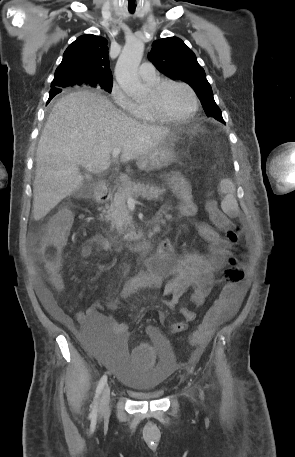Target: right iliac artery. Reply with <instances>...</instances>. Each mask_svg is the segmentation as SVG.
<instances>
[{
	"instance_id": "1",
	"label": "right iliac artery",
	"mask_w": 295,
	"mask_h": 457,
	"mask_svg": "<svg viewBox=\"0 0 295 457\" xmlns=\"http://www.w3.org/2000/svg\"><path fill=\"white\" fill-rule=\"evenodd\" d=\"M107 382V376L106 375H103L102 378L100 379L99 383H98V386H97V389H96V394H95V399H94V402H93V407H92V412H91V416L92 417H95L97 415V406H98V398L105 386Z\"/></svg>"
}]
</instances>
